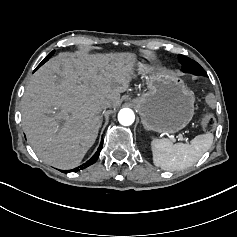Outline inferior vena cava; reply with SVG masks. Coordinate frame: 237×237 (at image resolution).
I'll return each instance as SVG.
<instances>
[{
	"mask_svg": "<svg viewBox=\"0 0 237 237\" xmlns=\"http://www.w3.org/2000/svg\"><path fill=\"white\" fill-rule=\"evenodd\" d=\"M100 106L102 109H106L111 107V102L109 100H102L100 101Z\"/></svg>",
	"mask_w": 237,
	"mask_h": 237,
	"instance_id": "1",
	"label": "inferior vena cava"
}]
</instances>
